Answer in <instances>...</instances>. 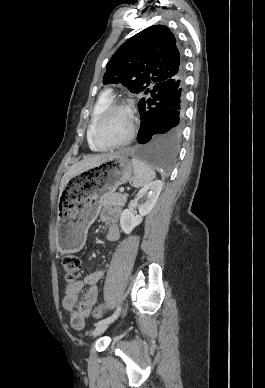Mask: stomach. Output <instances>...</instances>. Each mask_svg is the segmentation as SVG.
<instances>
[{
	"mask_svg": "<svg viewBox=\"0 0 265 388\" xmlns=\"http://www.w3.org/2000/svg\"><path fill=\"white\" fill-rule=\"evenodd\" d=\"M133 165L124 153L106 156L69 179L60 192L55 226L56 246L61 253L77 252L100 211V198L128 182Z\"/></svg>",
	"mask_w": 265,
	"mask_h": 388,
	"instance_id": "stomach-1",
	"label": "stomach"
}]
</instances>
